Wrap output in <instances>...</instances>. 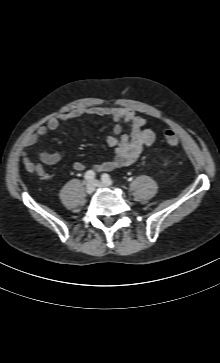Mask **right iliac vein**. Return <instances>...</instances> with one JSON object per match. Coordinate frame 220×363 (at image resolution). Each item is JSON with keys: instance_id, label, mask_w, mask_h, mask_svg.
I'll list each match as a JSON object with an SVG mask.
<instances>
[{"instance_id": "right-iliac-vein-1", "label": "right iliac vein", "mask_w": 220, "mask_h": 363, "mask_svg": "<svg viewBox=\"0 0 220 363\" xmlns=\"http://www.w3.org/2000/svg\"><path fill=\"white\" fill-rule=\"evenodd\" d=\"M95 187L96 186H95V184H94L93 181L87 182V185H86V193L89 194V195L93 194L94 191H95Z\"/></svg>"}]
</instances>
